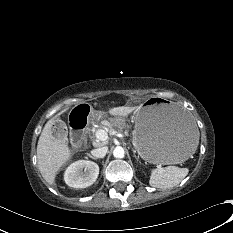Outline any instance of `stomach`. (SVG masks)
Returning a JSON list of instances; mask_svg holds the SVG:
<instances>
[{"mask_svg": "<svg viewBox=\"0 0 233 233\" xmlns=\"http://www.w3.org/2000/svg\"><path fill=\"white\" fill-rule=\"evenodd\" d=\"M134 147L152 164H176L187 160L199 143L194 117L179 104L153 98L134 113Z\"/></svg>", "mask_w": 233, "mask_h": 233, "instance_id": "obj_1", "label": "stomach"}]
</instances>
